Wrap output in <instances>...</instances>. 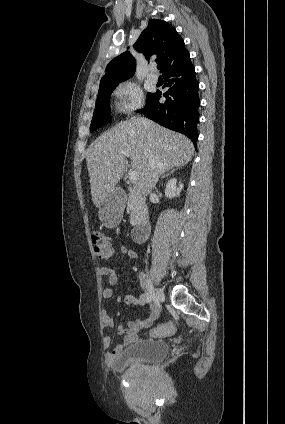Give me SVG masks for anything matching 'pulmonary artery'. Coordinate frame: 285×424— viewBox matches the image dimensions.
<instances>
[{
	"mask_svg": "<svg viewBox=\"0 0 285 424\" xmlns=\"http://www.w3.org/2000/svg\"><path fill=\"white\" fill-rule=\"evenodd\" d=\"M149 80H150L152 83H157V81H158V76H157L156 74H154V73H151V74L149 75Z\"/></svg>",
	"mask_w": 285,
	"mask_h": 424,
	"instance_id": "obj_1",
	"label": "pulmonary artery"
}]
</instances>
